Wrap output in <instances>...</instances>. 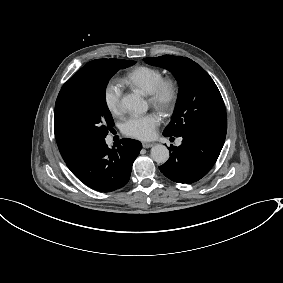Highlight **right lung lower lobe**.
I'll return each mask as SVG.
<instances>
[{
    "mask_svg": "<svg viewBox=\"0 0 283 283\" xmlns=\"http://www.w3.org/2000/svg\"><path fill=\"white\" fill-rule=\"evenodd\" d=\"M141 148L142 144L133 139H122L116 148H109L105 139L97 140L66 164L85 185L111 192L127 184Z\"/></svg>",
    "mask_w": 283,
    "mask_h": 283,
    "instance_id": "right-lung-lower-lobe-1",
    "label": "right lung lower lobe"
}]
</instances>
